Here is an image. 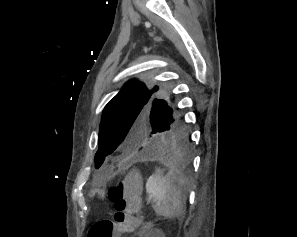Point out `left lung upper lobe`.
<instances>
[{
	"label": "left lung upper lobe",
	"mask_w": 297,
	"mask_h": 237,
	"mask_svg": "<svg viewBox=\"0 0 297 237\" xmlns=\"http://www.w3.org/2000/svg\"><path fill=\"white\" fill-rule=\"evenodd\" d=\"M166 98L164 86L146 87L128 81L103 110L95 167L99 168L108 155L120 161L144 157L158 131L178 112L173 99Z\"/></svg>",
	"instance_id": "1"
}]
</instances>
